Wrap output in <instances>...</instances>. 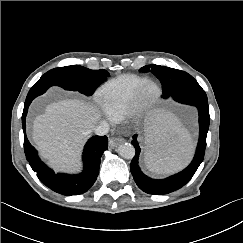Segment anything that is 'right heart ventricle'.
<instances>
[{"label":"right heart ventricle","mask_w":243,"mask_h":243,"mask_svg":"<svg viewBox=\"0 0 243 243\" xmlns=\"http://www.w3.org/2000/svg\"><path fill=\"white\" fill-rule=\"evenodd\" d=\"M148 79L136 74H125L107 82L98 94V102L103 110L113 119L125 115L127 107Z\"/></svg>","instance_id":"right-heart-ventricle-1"}]
</instances>
